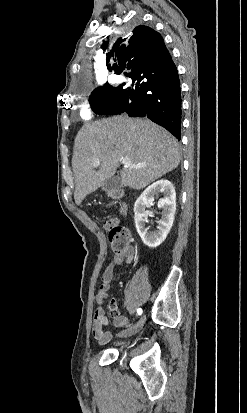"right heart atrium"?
I'll return each instance as SVG.
<instances>
[{"label": "right heart atrium", "mask_w": 247, "mask_h": 413, "mask_svg": "<svg viewBox=\"0 0 247 413\" xmlns=\"http://www.w3.org/2000/svg\"><path fill=\"white\" fill-rule=\"evenodd\" d=\"M94 107V102L92 100H85L83 105L79 107L80 117L82 119H94L98 116V113L94 110H89ZM101 130V129H98Z\"/></svg>", "instance_id": "1"}]
</instances>
